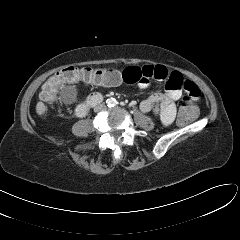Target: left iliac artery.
Segmentation results:
<instances>
[{"label":"left iliac artery","mask_w":240,"mask_h":240,"mask_svg":"<svg viewBox=\"0 0 240 240\" xmlns=\"http://www.w3.org/2000/svg\"><path fill=\"white\" fill-rule=\"evenodd\" d=\"M118 104H119V102H117V101L115 100L113 106H116V105H118ZM121 104H122V103H121Z\"/></svg>","instance_id":"obj_1"}]
</instances>
